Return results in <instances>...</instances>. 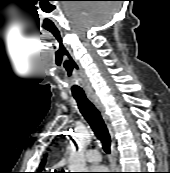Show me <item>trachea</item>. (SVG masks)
<instances>
[{
    "mask_svg": "<svg viewBox=\"0 0 170 173\" xmlns=\"http://www.w3.org/2000/svg\"><path fill=\"white\" fill-rule=\"evenodd\" d=\"M73 97L77 102L81 114L89 123L96 137L101 141L104 151L109 154L111 138L99 110L84 93H73Z\"/></svg>",
    "mask_w": 170,
    "mask_h": 173,
    "instance_id": "3493384b",
    "label": "trachea"
}]
</instances>
